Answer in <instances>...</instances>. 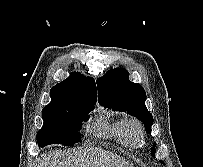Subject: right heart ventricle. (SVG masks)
<instances>
[{
	"mask_svg": "<svg viewBox=\"0 0 203 167\" xmlns=\"http://www.w3.org/2000/svg\"><path fill=\"white\" fill-rule=\"evenodd\" d=\"M124 119H112L106 115H101L96 123L95 128L100 134L115 138L123 144H130L124 128Z\"/></svg>",
	"mask_w": 203,
	"mask_h": 167,
	"instance_id": "1",
	"label": "right heart ventricle"
}]
</instances>
